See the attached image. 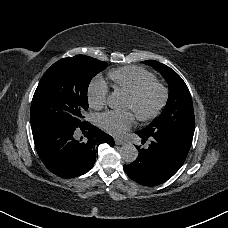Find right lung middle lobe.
Returning a JSON list of instances; mask_svg holds the SVG:
<instances>
[{
    "label": "right lung middle lobe",
    "mask_w": 228,
    "mask_h": 228,
    "mask_svg": "<svg viewBox=\"0 0 228 228\" xmlns=\"http://www.w3.org/2000/svg\"><path fill=\"white\" fill-rule=\"evenodd\" d=\"M107 63L76 55L59 60L43 75L34 93L31 125L55 122L78 127L87 121V90L91 79L104 70Z\"/></svg>",
    "instance_id": "dd1d6c3e"
}]
</instances>
